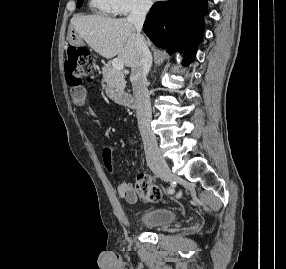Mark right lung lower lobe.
<instances>
[{"instance_id": "98d812e1", "label": "right lung lower lobe", "mask_w": 286, "mask_h": 269, "mask_svg": "<svg viewBox=\"0 0 286 269\" xmlns=\"http://www.w3.org/2000/svg\"><path fill=\"white\" fill-rule=\"evenodd\" d=\"M143 25L144 32L168 53L184 50V63L194 60L204 31L203 15L207 13V0H168L157 2L150 9Z\"/></svg>"}]
</instances>
